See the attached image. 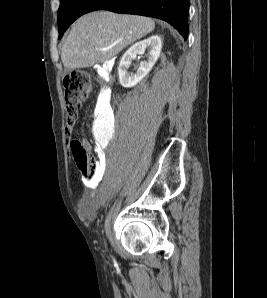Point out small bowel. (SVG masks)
<instances>
[{
    "mask_svg": "<svg viewBox=\"0 0 267 298\" xmlns=\"http://www.w3.org/2000/svg\"><path fill=\"white\" fill-rule=\"evenodd\" d=\"M106 196L93 187H87L79 200V209L86 218H92L98 206L103 203Z\"/></svg>",
    "mask_w": 267,
    "mask_h": 298,
    "instance_id": "small-bowel-1",
    "label": "small bowel"
}]
</instances>
